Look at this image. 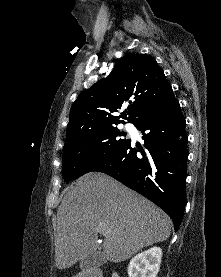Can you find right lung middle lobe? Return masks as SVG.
<instances>
[{
    "label": "right lung middle lobe",
    "instance_id": "right-lung-middle-lobe-1",
    "mask_svg": "<svg viewBox=\"0 0 221 277\" xmlns=\"http://www.w3.org/2000/svg\"><path fill=\"white\" fill-rule=\"evenodd\" d=\"M115 125L101 126L82 131L67 139L64 145L62 173L65 182L79 178L111 156L126 144L128 139Z\"/></svg>",
    "mask_w": 221,
    "mask_h": 277
}]
</instances>
